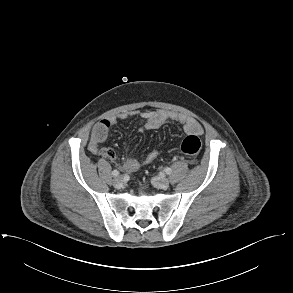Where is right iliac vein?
Here are the masks:
<instances>
[{
	"label": "right iliac vein",
	"instance_id": "1",
	"mask_svg": "<svg viewBox=\"0 0 293 293\" xmlns=\"http://www.w3.org/2000/svg\"><path fill=\"white\" fill-rule=\"evenodd\" d=\"M113 184L115 187L119 188L123 185V179L122 177H116L114 180H113Z\"/></svg>",
	"mask_w": 293,
	"mask_h": 293
}]
</instances>
